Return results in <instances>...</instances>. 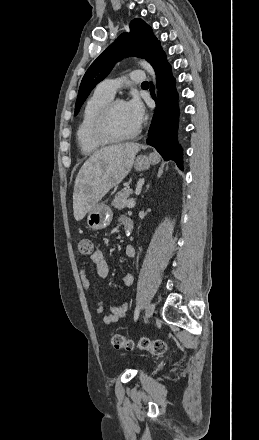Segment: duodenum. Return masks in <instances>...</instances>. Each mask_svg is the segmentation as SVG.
Here are the masks:
<instances>
[{
  "label": "duodenum",
  "instance_id": "1",
  "mask_svg": "<svg viewBox=\"0 0 259 440\" xmlns=\"http://www.w3.org/2000/svg\"><path fill=\"white\" fill-rule=\"evenodd\" d=\"M124 229L127 233H131L133 229V221L131 219H127L124 223Z\"/></svg>",
  "mask_w": 259,
  "mask_h": 440
}]
</instances>
